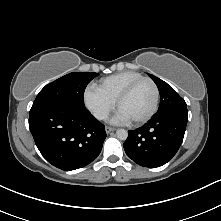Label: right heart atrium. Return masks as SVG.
<instances>
[{
  "mask_svg": "<svg viewBox=\"0 0 221 221\" xmlns=\"http://www.w3.org/2000/svg\"><path fill=\"white\" fill-rule=\"evenodd\" d=\"M83 98L86 107L98 120L107 119L115 106V103L96 87H87Z\"/></svg>",
  "mask_w": 221,
  "mask_h": 221,
  "instance_id": "obj_1",
  "label": "right heart atrium"
}]
</instances>
